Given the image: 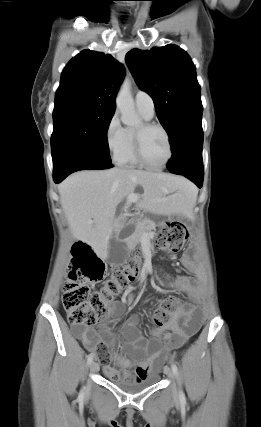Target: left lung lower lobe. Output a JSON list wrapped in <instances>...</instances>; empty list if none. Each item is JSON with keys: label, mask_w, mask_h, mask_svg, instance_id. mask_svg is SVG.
<instances>
[{"label": "left lung lower lobe", "mask_w": 261, "mask_h": 427, "mask_svg": "<svg viewBox=\"0 0 261 427\" xmlns=\"http://www.w3.org/2000/svg\"><path fill=\"white\" fill-rule=\"evenodd\" d=\"M202 146V124H191L182 129L171 143L173 155L167 163L171 173L187 177L199 188L203 183Z\"/></svg>", "instance_id": "left-lung-lower-lobe-1"}]
</instances>
